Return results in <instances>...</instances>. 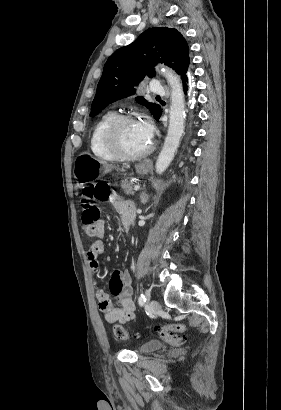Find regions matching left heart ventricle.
I'll list each match as a JSON object with an SVG mask.
<instances>
[{"label":"left heart ventricle","instance_id":"1","mask_svg":"<svg viewBox=\"0 0 281 410\" xmlns=\"http://www.w3.org/2000/svg\"><path fill=\"white\" fill-rule=\"evenodd\" d=\"M117 137L120 145L130 153L140 152L150 144L135 121L122 123L118 129Z\"/></svg>","mask_w":281,"mask_h":410}]
</instances>
